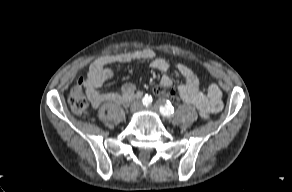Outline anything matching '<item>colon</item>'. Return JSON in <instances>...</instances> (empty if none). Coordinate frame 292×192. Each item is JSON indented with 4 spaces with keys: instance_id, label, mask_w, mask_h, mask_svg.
Listing matches in <instances>:
<instances>
[{
    "instance_id": "5ec220e1",
    "label": "colon",
    "mask_w": 292,
    "mask_h": 192,
    "mask_svg": "<svg viewBox=\"0 0 292 192\" xmlns=\"http://www.w3.org/2000/svg\"><path fill=\"white\" fill-rule=\"evenodd\" d=\"M83 86L84 80L81 79L72 89L68 97L69 106L71 110L77 115L84 113L88 107V102L83 90ZM154 92L159 97L168 98L174 101L178 98L176 91L172 88L157 86L154 89Z\"/></svg>"
}]
</instances>
